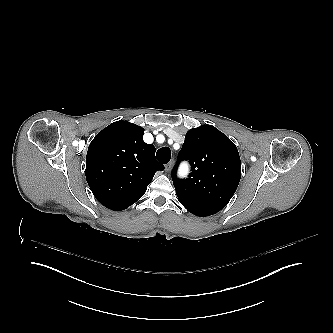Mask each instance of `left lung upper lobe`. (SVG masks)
<instances>
[{
    "label": "left lung upper lobe",
    "mask_w": 333,
    "mask_h": 333,
    "mask_svg": "<svg viewBox=\"0 0 333 333\" xmlns=\"http://www.w3.org/2000/svg\"><path fill=\"white\" fill-rule=\"evenodd\" d=\"M188 160L191 173L185 180L176 177L178 164ZM241 161L236 145L211 125L189 130L172 180L184 207L217 213L235 193L241 178Z\"/></svg>",
    "instance_id": "1"
}]
</instances>
